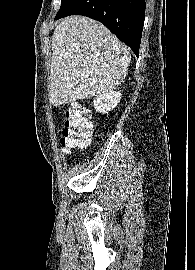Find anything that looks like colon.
Here are the masks:
<instances>
[{"instance_id": "obj_1", "label": "colon", "mask_w": 195, "mask_h": 270, "mask_svg": "<svg viewBox=\"0 0 195 270\" xmlns=\"http://www.w3.org/2000/svg\"><path fill=\"white\" fill-rule=\"evenodd\" d=\"M92 122L90 113L84 106L73 103L63 118L61 144L66 152L76 147L86 146L91 139Z\"/></svg>"}]
</instances>
